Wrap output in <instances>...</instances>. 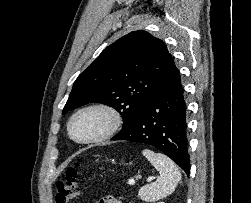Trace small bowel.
Segmentation results:
<instances>
[{"label":"small bowel","mask_w":251,"mask_h":203,"mask_svg":"<svg viewBox=\"0 0 251 203\" xmlns=\"http://www.w3.org/2000/svg\"><path fill=\"white\" fill-rule=\"evenodd\" d=\"M98 203H122V202L114 197L107 196L99 200Z\"/></svg>","instance_id":"c3829d8e"}]
</instances>
